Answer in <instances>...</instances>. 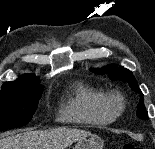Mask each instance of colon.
<instances>
[{
    "mask_svg": "<svg viewBox=\"0 0 155 149\" xmlns=\"http://www.w3.org/2000/svg\"><path fill=\"white\" fill-rule=\"evenodd\" d=\"M123 149H142V148L137 144L127 142L123 145Z\"/></svg>",
    "mask_w": 155,
    "mask_h": 149,
    "instance_id": "5ec220e1",
    "label": "colon"
}]
</instances>
